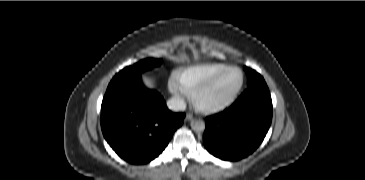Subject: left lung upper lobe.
Instances as JSON below:
<instances>
[{
	"label": "left lung upper lobe",
	"instance_id": "1",
	"mask_svg": "<svg viewBox=\"0 0 365 180\" xmlns=\"http://www.w3.org/2000/svg\"><path fill=\"white\" fill-rule=\"evenodd\" d=\"M244 70L246 71L247 76H248V87L251 85H254L256 83L264 81L263 77L259 73H257L255 70H252L248 67H244Z\"/></svg>",
	"mask_w": 365,
	"mask_h": 180
}]
</instances>
